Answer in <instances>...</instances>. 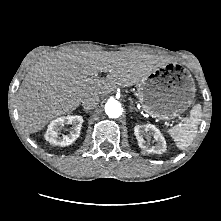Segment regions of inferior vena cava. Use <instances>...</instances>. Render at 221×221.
<instances>
[{"label":"inferior vena cava","instance_id":"602c4592","mask_svg":"<svg viewBox=\"0 0 221 221\" xmlns=\"http://www.w3.org/2000/svg\"><path fill=\"white\" fill-rule=\"evenodd\" d=\"M99 103L98 95H91L82 100V106L87 109H94Z\"/></svg>","mask_w":221,"mask_h":221}]
</instances>
